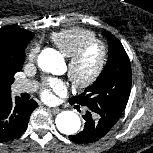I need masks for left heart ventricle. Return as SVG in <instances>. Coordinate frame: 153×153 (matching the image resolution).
<instances>
[{
  "label": "left heart ventricle",
  "instance_id": "obj_1",
  "mask_svg": "<svg viewBox=\"0 0 153 153\" xmlns=\"http://www.w3.org/2000/svg\"><path fill=\"white\" fill-rule=\"evenodd\" d=\"M100 59V49L98 46L90 48L77 67V75L80 78L90 76L98 65Z\"/></svg>",
  "mask_w": 153,
  "mask_h": 153
}]
</instances>
